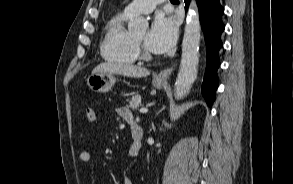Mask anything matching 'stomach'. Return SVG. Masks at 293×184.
Returning a JSON list of instances; mask_svg holds the SVG:
<instances>
[{
    "instance_id": "1",
    "label": "stomach",
    "mask_w": 293,
    "mask_h": 184,
    "mask_svg": "<svg viewBox=\"0 0 293 184\" xmlns=\"http://www.w3.org/2000/svg\"><path fill=\"white\" fill-rule=\"evenodd\" d=\"M116 82V77L110 72H92L87 78L88 87L96 93H105L112 89ZM152 84L154 87L160 89L163 81L153 79Z\"/></svg>"
}]
</instances>
